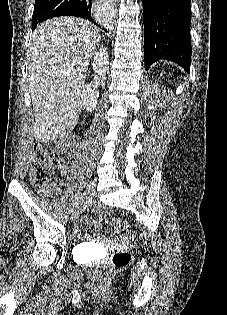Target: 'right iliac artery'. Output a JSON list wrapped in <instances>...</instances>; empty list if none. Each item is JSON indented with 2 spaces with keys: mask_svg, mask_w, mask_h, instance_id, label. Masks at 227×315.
Instances as JSON below:
<instances>
[{
  "mask_svg": "<svg viewBox=\"0 0 227 315\" xmlns=\"http://www.w3.org/2000/svg\"><path fill=\"white\" fill-rule=\"evenodd\" d=\"M81 198H82V195L79 197V199H81ZM79 199L76 200V202L74 203V205H76V204L78 203Z\"/></svg>",
  "mask_w": 227,
  "mask_h": 315,
  "instance_id": "82829eb1",
  "label": "right iliac artery"
}]
</instances>
